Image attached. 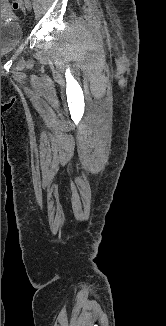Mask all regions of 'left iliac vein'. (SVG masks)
I'll list each match as a JSON object with an SVG mask.
<instances>
[{"mask_svg":"<svg viewBox=\"0 0 166 326\" xmlns=\"http://www.w3.org/2000/svg\"><path fill=\"white\" fill-rule=\"evenodd\" d=\"M24 3H25L26 10L31 11L32 10L31 1L30 0H24Z\"/></svg>","mask_w":166,"mask_h":326,"instance_id":"obj_1","label":"left iliac vein"}]
</instances>
